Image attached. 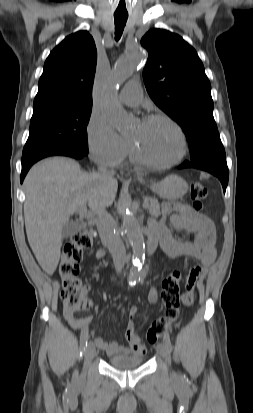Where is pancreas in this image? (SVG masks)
I'll list each match as a JSON object with an SVG mask.
<instances>
[{
	"label": "pancreas",
	"instance_id": "cf45deb5",
	"mask_svg": "<svg viewBox=\"0 0 253 413\" xmlns=\"http://www.w3.org/2000/svg\"><path fill=\"white\" fill-rule=\"evenodd\" d=\"M144 201L148 203L149 206V213L151 214L152 217L157 218L160 216V206L158 203V200L155 198H144Z\"/></svg>",
	"mask_w": 253,
	"mask_h": 413
}]
</instances>
